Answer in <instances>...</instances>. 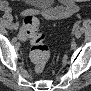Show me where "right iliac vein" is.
<instances>
[{
  "label": "right iliac vein",
  "mask_w": 91,
  "mask_h": 91,
  "mask_svg": "<svg viewBox=\"0 0 91 91\" xmlns=\"http://www.w3.org/2000/svg\"><path fill=\"white\" fill-rule=\"evenodd\" d=\"M18 26H19V25L16 23V24L13 25V28H14V29H18Z\"/></svg>",
  "instance_id": "63e3f726"
}]
</instances>
